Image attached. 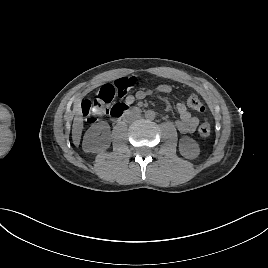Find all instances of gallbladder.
Here are the masks:
<instances>
[{"mask_svg":"<svg viewBox=\"0 0 268 268\" xmlns=\"http://www.w3.org/2000/svg\"><path fill=\"white\" fill-rule=\"evenodd\" d=\"M90 111H91L93 114H96V113L99 111V108H98L96 105H93V106L90 108Z\"/></svg>","mask_w":268,"mask_h":268,"instance_id":"obj_1","label":"gallbladder"}]
</instances>
